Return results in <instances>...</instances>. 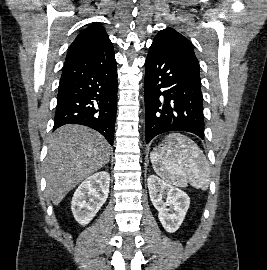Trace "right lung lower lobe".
Listing matches in <instances>:
<instances>
[{"instance_id": "obj_1", "label": "right lung lower lobe", "mask_w": 267, "mask_h": 270, "mask_svg": "<svg viewBox=\"0 0 267 270\" xmlns=\"http://www.w3.org/2000/svg\"><path fill=\"white\" fill-rule=\"evenodd\" d=\"M117 69L113 46L65 61L53 129L80 124L100 132L113 145Z\"/></svg>"}]
</instances>
